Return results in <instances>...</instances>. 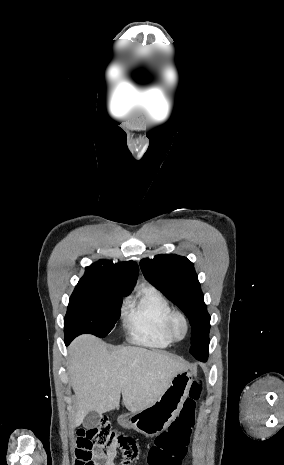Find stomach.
Masks as SVG:
<instances>
[{
	"mask_svg": "<svg viewBox=\"0 0 284 465\" xmlns=\"http://www.w3.org/2000/svg\"><path fill=\"white\" fill-rule=\"evenodd\" d=\"M192 375L188 371H182L171 379L167 389L154 401L150 407L126 413L118 417V423L124 429H134L145 437H156L169 427L175 417L179 415L182 405L189 395Z\"/></svg>",
	"mask_w": 284,
	"mask_h": 465,
	"instance_id": "0dacf381",
	"label": "stomach"
}]
</instances>
